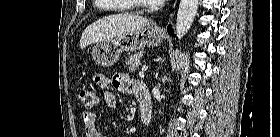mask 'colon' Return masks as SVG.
<instances>
[{"label":"colon","mask_w":280,"mask_h":137,"mask_svg":"<svg viewBox=\"0 0 280 137\" xmlns=\"http://www.w3.org/2000/svg\"><path fill=\"white\" fill-rule=\"evenodd\" d=\"M80 102L86 108H93L97 103V96L94 91L91 90H82L79 94Z\"/></svg>","instance_id":"5ec220e1"}]
</instances>
